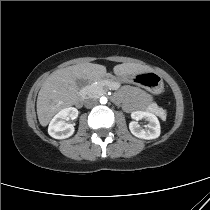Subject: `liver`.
Returning <instances> with one entry per match:
<instances>
[{
	"instance_id": "liver-1",
	"label": "liver",
	"mask_w": 210,
	"mask_h": 210,
	"mask_svg": "<svg viewBox=\"0 0 210 210\" xmlns=\"http://www.w3.org/2000/svg\"><path fill=\"white\" fill-rule=\"evenodd\" d=\"M116 76L150 72L152 69L139 63H122L114 66ZM107 76L106 67L100 64L81 63L54 71L42 84L37 97V115L42 126H47L52 117L79 100L77 79L88 83L100 82Z\"/></svg>"
}]
</instances>
